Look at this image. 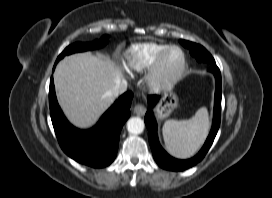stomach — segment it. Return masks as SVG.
Masks as SVG:
<instances>
[{
    "instance_id": "obj_1",
    "label": "stomach",
    "mask_w": 272,
    "mask_h": 198,
    "mask_svg": "<svg viewBox=\"0 0 272 198\" xmlns=\"http://www.w3.org/2000/svg\"><path fill=\"white\" fill-rule=\"evenodd\" d=\"M179 105V98L175 93L166 94L156 109V116L163 120L167 118Z\"/></svg>"
}]
</instances>
